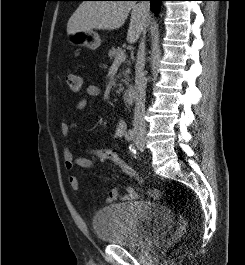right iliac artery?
Returning a JSON list of instances; mask_svg holds the SVG:
<instances>
[{"label":"right iliac artery","mask_w":245,"mask_h":265,"mask_svg":"<svg viewBox=\"0 0 245 265\" xmlns=\"http://www.w3.org/2000/svg\"><path fill=\"white\" fill-rule=\"evenodd\" d=\"M133 137H134V132L131 131V130H129V131L125 134V139H126L127 141H131V140L133 139Z\"/></svg>","instance_id":"obj_1"}]
</instances>
